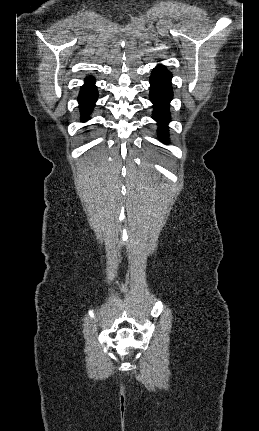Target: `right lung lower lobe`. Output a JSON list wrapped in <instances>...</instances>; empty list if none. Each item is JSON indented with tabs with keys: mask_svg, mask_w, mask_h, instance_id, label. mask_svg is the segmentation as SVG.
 I'll list each match as a JSON object with an SVG mask.
<instances>
[{
	"mask_svg": "<svg viewBox=\"0 0 259 431\" xmlns=\"http://www.w3.org/2000/svg\"><path fill=\"white\" fill-rule=\"evenodd\" d=\"M94 78L89 77L86 79L85 85L82 86L78 101L79 107L82 113V120H88V114L92 111L95 106V102L98 97L97 88L94 85Z\"/></svg>",
	"mask_w": 259,
	"mask_h": 431,
	"instance_id": "obj_1",
	"label": "right lung lower lobe"
}]
</instances>
